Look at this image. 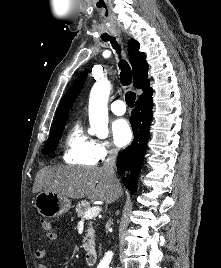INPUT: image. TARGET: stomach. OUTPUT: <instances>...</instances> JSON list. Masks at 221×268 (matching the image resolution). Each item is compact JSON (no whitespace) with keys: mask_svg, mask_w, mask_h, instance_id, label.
<instances>
[{"mask_svg":"<svg viewBox=\"0 0 221 268\" xmlns=\"http://www.w3.org/2000/svg\"><path fill=\"white\" fill-rule=\"evenodd\" d=\"M35 207L42 216L54 218L67 213L71 208V201L68 197L41 191L35 197Z\"/></svg>","mask_w":221,"mask_h":268,"instance_id":"1","label":"stomach"}]
</instances>
